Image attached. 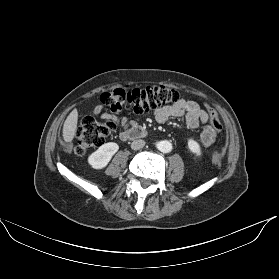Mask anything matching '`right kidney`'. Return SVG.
<instances>
[{
	"label": "right kidney",
	"instance_id": "right-kidney-1",
	"mask_svg": "<svg viewBox=\"0 0 279 279\" xmlns=\"http://www.w3.org/2000/svg\"><path fill=\"white\" fill-rule=\"evenodd\" d=\"M118 149L119 145L117 143H105L88 157V163L94 169H102L107 166Z\"/></svg>",
	"mask_w": 279,
	"mask_h": 279
}]
</instances>
